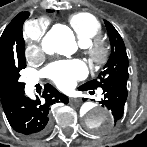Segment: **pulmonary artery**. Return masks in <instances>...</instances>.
<instances>
[{
	"mask_svg": "<svg viewBox=\"0 0 147 147\" xmlns=\"http://www.w3.org/2000/svg\"><path fill=\"white\" fill-rule=\"evenodd\" d=\"M35 81H36V79H30L28 82L30 83V84H34L35 83Z\"/></svg>",
	"mask_w": 147,
	"mask_h": 147,
	"instance_id": "e3ab8cb5",
	"label": "pulmonary artery"
}]
</instances>
